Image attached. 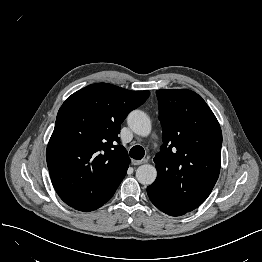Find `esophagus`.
<instances>
[{
  "label": "esophagus",
  "instance_id": "obj_1",
  "mask_svg": "<svg viewBox=\"0 0 262 262\" xmlns=\"http://www.w3.org/2000/svg\"><path fill=\"white\" fill-rule=\"evenodd\" d=\"M146 159H143V160H132V164L133 165H141V164H144L146 163Z\"/></svg>",
  "mask_w": 262,
  "mask_h": 262
}]
</instances>
